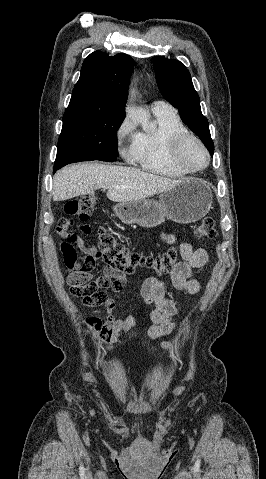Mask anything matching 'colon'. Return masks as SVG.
<instances>
[{
	"label": "colon",
	"mask_w": 266,
	"mask_h": 479,
	"mask_svg": "<svg viewBox=\"0 0 266 479\" xmlns=\"http://www.w3.org/2000/svg\"><path fill=\"white\" fill-rule=\"evenodd\" d=\"M96 205L93 195H83L70 199L66 202L63 216L58 225V233L66 238L60 245V250L67 267L71 270L69 284L73 295L81 297L90 306L101 305L106 301L107 290L117 291L123 287L120 279L111 280L107 276H100L95 280H88V273L92 268L91 256L85 252H79L70 243L71 240H79L80 237L72 233V229L83 234L91 231L87 221ZM195 235L199 239L210 240L217 235L215 221L211 217L204 218L195 229ZM98 248L103 259L110 268L122 274H132L142 266L152 267L159 274L171 272L178 264V253L175 248H170L160 256L147 258L130 251L116 237L107 230L98 234ZM163 348L169 349V344H163Z\"/></svg>",
	"instance_id": "1"
}]
</instances>
